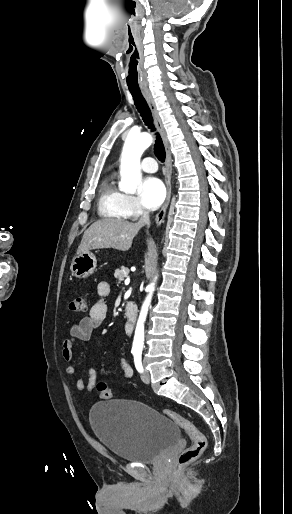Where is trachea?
I'll return each instance as SVG.
<instances>
[{"instance_id": "1", "label": "trachea", "mask_w": 292, "mask_h": 514, "mask_svg": "<svg viewBox=\"0 0 292 514\" xmlns=\"http://www.w3.org/2000/svg\"><path fill=\"white\" fill-rule=\"evenodd\" d=\"M131 95L133 97L136 109L138 110L140 116L142 117L143 122L149 129H151L152 132H156V128L153 123L152 113L151 110L143 97L140 90H131ZM156 140L154 145V154L157 157L158 160L161 162H164L166 157L165 147L163 145L162 139L158 132L155 133Z\"/></svg>"}]
</instances>
